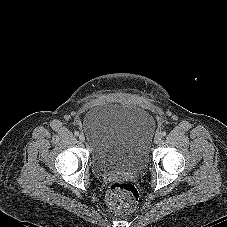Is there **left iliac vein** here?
Here are the masks:
<instances>
[{
  "label": "left iliac vein",
  "mask_w": 227,
  "mask_h": 227,
  "mask_svg": "<svg viewBox=\"0 0 227 227\" xmlns=\"http://www.w3.org/2000/svg\"><path fill=\"white\" fill-rule=\"evenodd\" d=\"M161 140H162V134H161V133H157V134L155 135V137H154V142H155L156 144H158V143L161 142Z\"/></svg>",
  "instance_id": "4c4485c4"
}]
</instances>
